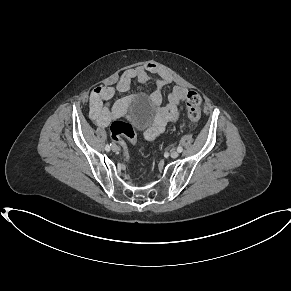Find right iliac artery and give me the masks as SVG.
<instances>
[{
  "instance_id": "right-iliac-artery-1",
  "label": "right iliac artery",
  "mask_w": 291,
  "mask_h": 291,
  "mask_svg": "<svg viewBox=\"0 0 291 291\" xmlns=\"http://www.w3.org/2000/svg\"><path fill=\"white\" fill-rule=\"evenodd\" d=\"M110 146H111V144H107L106 147H105V149H106L107 151H109V150H110Z\"/></svg>"
}]
</instances>
